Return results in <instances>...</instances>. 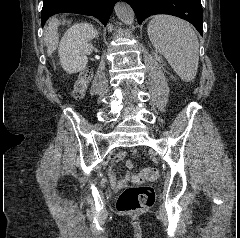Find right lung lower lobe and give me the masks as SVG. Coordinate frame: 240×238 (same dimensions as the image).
I'll use <instances>...</instances> for the list:
<instances>
[{
	"label": "right lung lower lobe",
	"instance_id": "98d812e1",
	"mask_svg": "<svg viewBox=\"0 0 240 238\" xmlns=\"http://www.w3.org/2000/svg\"><path fill=\"white\" fill-rule=\"evenodd\" d=\"M118 0H44L41 23L54 14L78 13L98 18L104 25L108 23L114 4Z\"/></svg>",
	"mask_w": 240,
	"mask_h": 238
}]
</instances>
